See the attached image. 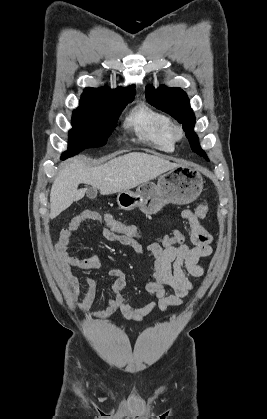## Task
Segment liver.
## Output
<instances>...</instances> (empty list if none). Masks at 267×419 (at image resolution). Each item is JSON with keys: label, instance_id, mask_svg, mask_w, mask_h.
I'll use <instances>...</instances> for the list:
<instances>
[{"label": "liver", "instance_id": "obj_1", "mask_svg": "<svg viewBox=\"0 0 267 419\" xmlns=\"http://www.w3.org/2000/svg\"><path fill=\"white\" fill-rule=\"evenodd\" d=\"M178 164L158 156L131 152L96 167L86 165V158L77 157L60 165L50 192V218H56L75 201L82 199L86 189L81 183L98 188L102 195L130 190L150 181Z\"/></svg>", "mask_w": 267, "mask_h": 419}]
</instances>
